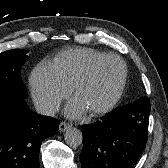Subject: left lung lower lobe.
<instances>
[{"instance_id":"obj_1","label":"left lung lower lobe","mask_w":168,"mask_h":168,"mask_svg":"<svg viewBox=\"0 0 168 168\" xmlns=\"http://www.w3.org/2000/svg\"><path fill=\"white\" fill-rule=\"evenodd\" d=\"M150 101L117 107L101 120L83 125V168H134L148 139Z\"/></svg>"}]
</instances>
